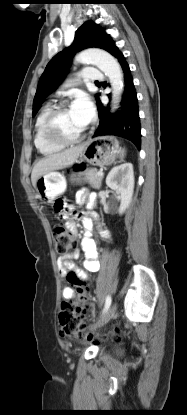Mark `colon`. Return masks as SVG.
Instances as JSON below:
<instances>
[{
    "label": "colon",
    "instance_id": "obj_1",
    "mask_svg": "<svg viewBox=\"0 0 187 415\" xmlns=\"http://www.w3.org/2000/svg\"><path fill=\"white\" fill-rule=\"evenodd\" d=\"M58 205L61 209L67 207L64 201L58 202ZM52 232L56 243V252L61 256L66 255L74 244L73 235L61 224H54L52 226ZM68 280L75 288L79 300L62 302L59 312V333L61 337L81 336L86 332L85 314L89 307L87 297L88 285L75 273L69 274ZM110 335L115 339L119 338V330H114ZM103 337L98 336L96 339L100 340Z\"/></svg>",
    "mask_w": 187,
    "mask_h": 415
}]
</instances>
